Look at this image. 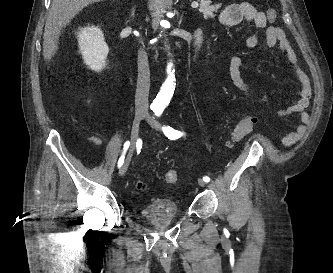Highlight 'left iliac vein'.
I'll return each mask as SVG.
<instances>
[{
    "instance_id": "obj_1",
    "label": "left iliac vein",
    "mask_w": 333,
    "mask_h": 273,
    "mask_svg": "<svg viewBox=\"0 0 333 273\" xmlns=\"http://www.w3.org/2000/svg\"><path fill=\"white\" fill-rule=\"evenodd\" d=\"M146 120H147L148 124H149L152 128H154V129H156V130H162V125H161L158 121H156V120H154L153 118H151L148 114H146ZM198 184H199L201 187H205L206 182H205L204 180H202V179H198Z\"/></svg>"
}]
</instances>
